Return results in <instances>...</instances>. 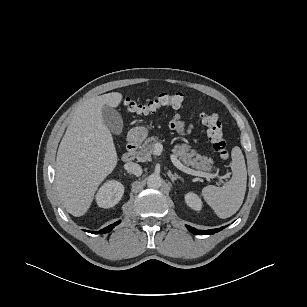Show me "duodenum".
<instances>
[{
    "label": "duodenum",
    "instance_id": "duodenum-1",
    "mask_svg": "<svg viewBox=\"0 0 307 307\" xmlns=\"http://www.w3.org/2000/svg\"><path fill=\"white\" fill-rule=\"evenodd\" d=\"M139 140L140 136L138 134H132L129 136L127 142V150L122 155V160L124 162H131L135 159Z\"/></svg>",
    "mask_w": 307,
    "mask_h": 307
}]
</instances>
